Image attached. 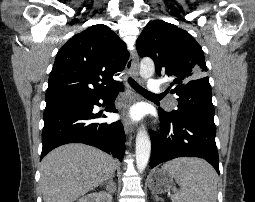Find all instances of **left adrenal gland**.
Masks as SVG:
<instances>
[{"mask_svg": "<svg viewBox=\"0 0 255 202\" xmlns=\"http://www.w3.org/2000/svg\"><path fill=\"white\" fill-rule=\"evenodd\" d=\"M155 200H156V201H158V200H159V198H158L157 196H155Z\"/></svg>", "mask_w": 255, "mask_h": 202, "instance_id": "left-adrenal-gland-1", "label": "left adrenal gland"}]
</instances>
